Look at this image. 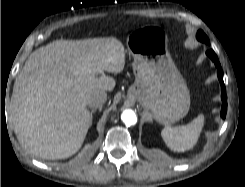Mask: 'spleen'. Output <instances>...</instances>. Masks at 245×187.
I'll return each instance as SVG.
<instances>
[{
  "instance_id": "obj_1",
  "label": "spleen",
  "mask_w": 245,
  "mask_h": 187,
  "mask_svg": "<svg viewBox=\"0 0 245 187\" xmlns=\"http://www.w3.org/2000/svg\"><path fill=\"white\" fill-rule=\"evenodd\" d=\"M205 116L199 114L187 125L176 127H165L161 131V136L167 147L175 152H184L192 149L201 134L204 126Z\"/></svg>"
}]
</instances>
